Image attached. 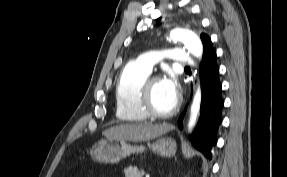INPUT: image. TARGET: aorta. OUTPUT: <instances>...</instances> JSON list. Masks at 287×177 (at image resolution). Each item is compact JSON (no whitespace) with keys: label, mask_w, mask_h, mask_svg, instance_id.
Segmentation results:
<instances>
[{"label":"aorta","mask_w":287,"mask_h":177,"mask_svg":"<svg viewBox=\"0 0 287 177\" xmlns=\"http://www.w3.org/2000/svg\"><path fill=\"white\" fill-rule=\"evenodd\" d=\"M170 38L172 40L181 41L193 56L201 58L203 52L202 42L194 32L186 29H174L170 33ZM200 103L201 92L200 89H198L191 105L190 119L188 123L189 130H191L196 123V119L200 111Z\"/></svg>","instance_id":"1"}]
</instances>
